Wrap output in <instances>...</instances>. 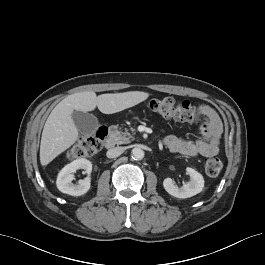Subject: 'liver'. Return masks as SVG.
Listing matches in <instances>:
<instances>
[{
  "label": "liver",
  "instance_id": "6515ba94",
  "mask_svg": "<svg viewBox=\"0 0 265 265\" xmlns=\"http://www.w3.org/2000/svg\"><path fill=\"white\" fill-rule=\"evenodd\" d=\"M149 97V93L129 91L96 96L93 91L79 92L60 101L47 118L41 137L40 163L46 166L78 140L73 111L89 112L96 107L104 114L120 112Z\"/></svg>",
  "mask_w": 265,
  "mask_h": 265
}]
</instances>
